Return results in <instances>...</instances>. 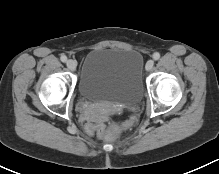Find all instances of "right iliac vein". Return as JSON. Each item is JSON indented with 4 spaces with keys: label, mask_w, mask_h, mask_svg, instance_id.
Instances as JSON below:
<instances>
[{
    "label": "right iliac vein",
    "mask_w": 219,
    "mask_h": 174,
    "mask_svg": "<svg viewBox=\"0 0 219 174\" xmlns=\"http://www.w3.org/2000/svg\"><path fill=\"white\" fill-rule=\"evenodd\" d=\"M66 65H67L69 70L74 71L76 69L77 62L75 60H73V59H69L66 62Z\"/></svg>",
    "instance_id": "obj_1"
}]
</instances>
